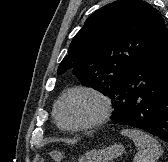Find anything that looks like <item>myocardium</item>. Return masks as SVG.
I'll list each match as a JSON object with an SVG mask.
<instances>
[{"label":"myocardium","mask_w":168,"mask_h":162,"mask_svg":"<svg viewBox=\"0 0 168 162\" xmlns=\"http://www.w3.org/2000/svg\"><path fill=\"white\" fill-rule=\"evenodd\" d=\"M75 94L89 95L92 98H94L99 104V112L92 119L82 124H79L76 126H67L63 124L60 120L59 108L62 102L66 98L72 95H75ZM111 111H112V103H111L110 98L105 93L101 92L100 90L96 88L90 87V86H76V87H72L68 89L67 91H65L57 99V101L55 102L54 108H53V115H54L56 124L62 130L70 131V132H79V131L89 130V129L102 125L109 118Z\"/></svg>","instance_id":"myocardium-1"}]
</instances>
